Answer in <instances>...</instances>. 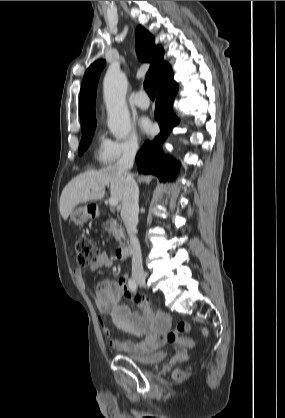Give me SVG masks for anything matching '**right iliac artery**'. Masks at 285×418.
<instances>
[{
    "label": "right iliac artery",
    "mask_w": 285,
    "mask_h": 418,
    "mask_svg": "<svg viewBox=\"0 0 285 418\" xmlns=\"http://www.w3.org/2000/svg\"><path fill=\"white\" fill-rule=\"evenodd\" d=\"M128 285H129V288H130L132 291H136V289H137V284L135 283V281H134L133 279H130V280H129Z\"/></svg>",
    "instance_id": "82829eb1"
}]
</instances>
